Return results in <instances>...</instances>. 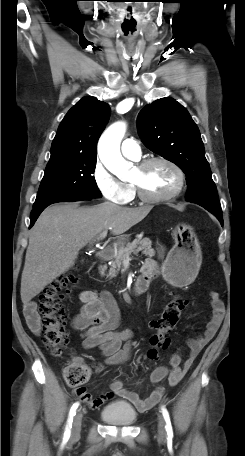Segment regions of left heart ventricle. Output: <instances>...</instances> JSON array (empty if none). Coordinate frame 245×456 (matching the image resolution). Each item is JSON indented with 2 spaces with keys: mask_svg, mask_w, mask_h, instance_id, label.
<instances>
[{
  "mask_svg": "<svg viewBox=\"0 0 245 456\" xmlns=\"http://www.w3.org/2000/svg\"><path fill=\"white\" fill-rule=\"evenodd\" d=\"M132 181L142 185L152 196H163L172 192L178 183L177 174L164 163H155L144 171L135 169Z\"/></svg>",
  "mask_w": 245,
  "mask_h": 456,
  "instance_id": "left-heart-ventricle-1",
  "label": "left heart ventricle"
}]
</instances>
